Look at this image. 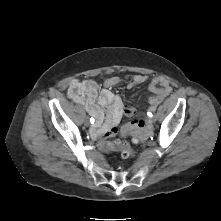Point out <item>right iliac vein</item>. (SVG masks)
I'll use <instances>...</instances> for the list:
<instances>
[{
	"instance_id": "1",
	"label": "right iliac vein",
	"mask_w": 221,
	"mask_h": 221,
	"mask_svg": "<svg viewBox=\"0 0 221 221\" xmlns=\"http://www.w3.org/2000/svg\"><path fill=\"white\" fill-rule=\"evenodd\" d=\"M84 125H85L86 127H88V126L90 125V122H89L88 118H85V120H84Z\"/></svg>"
}]
</instances>
